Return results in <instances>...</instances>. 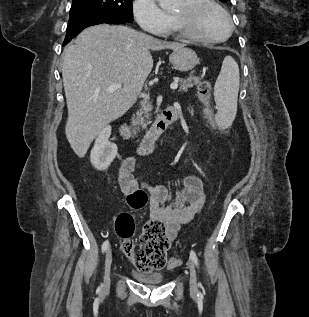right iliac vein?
I'll list each match as a JSON object with an SVG mask.
<instances>
[{
  "instance_id": "right-iliac-vein-1",
  "label": "right iliac vein",
  "mask_w": 309,
  "mask_h": 317,
  "mask_svg": "<svg viewBox=\"0 0 309 317\" xmlns=\"http://www.w3.org/2000/svg\"><path fill=\"white\" fill-rule=\"evenodd\" d=\"M111 264H112V250L109 248L105 255L104 277H103V284H102L103 291H107L110 288Z\"/></svg>"
}]
</instances>
